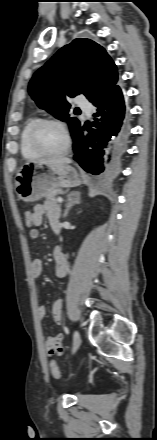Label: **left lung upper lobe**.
I'll list each match as a JSON object with an SVG mask.
<instances>
[{
  "label": "left lung upper lobe",
  "instance_id": "1",
  "mask_svg": "<svg viewBox=\"0 0 157 440\" xmlns=\"http://www.w3.org/2000/svg\"><path fill=\"white\" fill-rule=\"evenodd\" d=\"M117 81V67L106 50L90 39L77 38L34 73L28 90L40 108L68 123L72 135L81 123L68 114L71 105L66 97L83 94L93 103Z\"/></svg>",
  "mask_w": 157,
  "mask_h": 440
}]
</instances>
